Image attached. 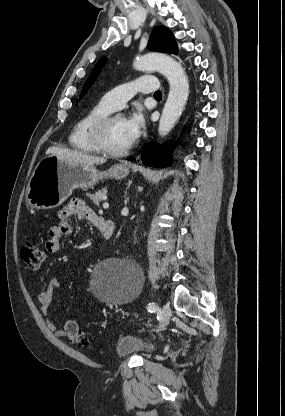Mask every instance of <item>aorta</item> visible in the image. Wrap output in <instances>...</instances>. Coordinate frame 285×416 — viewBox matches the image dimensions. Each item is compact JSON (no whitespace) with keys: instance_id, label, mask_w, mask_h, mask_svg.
<instances>
[{"instance_id":"1","label":"aorta","mask_w":285,"mask_h":416,"mask_svg":"<svg viewBox=\"0 0 285 416\" xmlns=\"http://www.w3.org/2000/svg\"><path fill=\"white\" fill-rule=\"evenodd\" d=\"M140 71H159L170 85L167 101L163 108L158 133L166 136L180 118L189 95V82L182 66L169 56L149 53L134 62Z\"/></svg>"}]
</instances>
